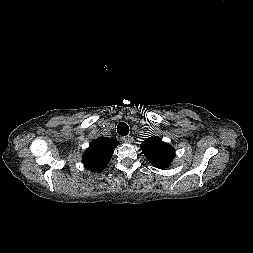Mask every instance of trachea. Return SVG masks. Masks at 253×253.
I'll return each instance as SVG.
<instances>
[{"label": "trachea", "instance_id": "trachea-1", "mask_svg": "<svg viewBox=\"0 0 253 253\" xmlns=\"http://www.w3.org/2000/svg\"><path fill=\"white\" fill-rule=\"evenodd\" d=\"M117 133L121 136H126L129 133V127L126 123L120 122L117 125Z\"/></svg>", "mask_w": 253, "mask_h": 253}]
</instances>
